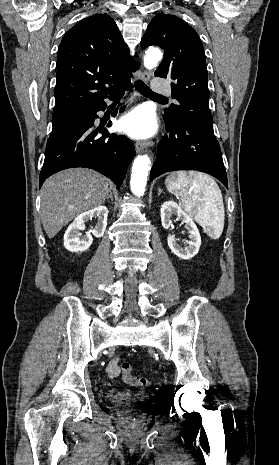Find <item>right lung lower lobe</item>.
<instances>
[{"mask_svg": "<svg viewBox=\"0 0 279 465\" xmlns=\"http://www.w3.org/2000/svg\"><path fill=\"white\" fill-rule=\"evenodd\" d=\"M129 89L130 82L120 90ZM116 93L108 98L112 99ZM106 107L104 100H101L83 110L77 117V125L65 133L55 145L46 149L39 177L40 186L52 174L72 167L94 169L114 181L117 188L121 186L127 167L135 155V149L133 142L126 136L108 134L106 129L100 135L102 129L95 128L97 112L104 111ZM123 110L120 109V112ZM116 113L117 110L113 116H116Z\"/></svg>", "mask_w": 279, "mask_h": 465, "instance_id": "right-lung-lower-lobe-1", "label": "right lung lower lobe"}]
</instances>
